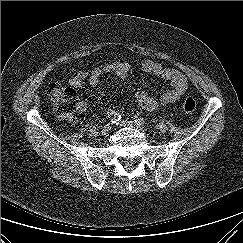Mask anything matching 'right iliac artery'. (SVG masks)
Masks as SVG:
<instances>
[{"label": "right iliac artery", "instance_id": "82829eb1", "mask_svg": "<svg viewBox=\"0 0 243 243\" xmlns=\"http://www.w3.org/2000/svg\"><path fill=\"white\" fill-rule=\"evenodd\" d=\"M122 115L120 113H116L113 117H111L106 126H112L114 123L118 122L121 119Z\"/></svg>", "mask_w": 243, "mask_h": 243}]
</instances>
